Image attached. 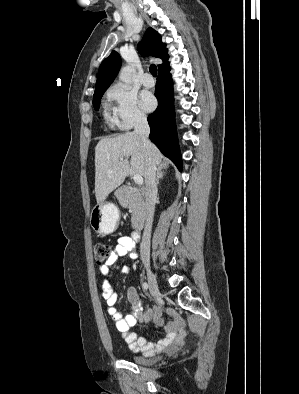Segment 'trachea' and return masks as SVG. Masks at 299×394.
<instances>
[{"label":"trachea","mask_w":299,"mask_h":394,"mask_svg":"<svg viewBox=\"0 0 299 394\" xmlns=\"http://www.w3.org/2000/svg\"><path fill=\"white\" fill-rule=\"evenodd\" d=\"M149 71L154 77L157 76V67H156V65H151L150 68H149Z\"/></svg>","instance_id":"trachea-1"}]
</instances>
